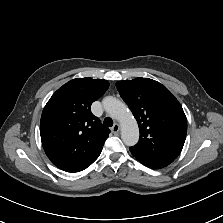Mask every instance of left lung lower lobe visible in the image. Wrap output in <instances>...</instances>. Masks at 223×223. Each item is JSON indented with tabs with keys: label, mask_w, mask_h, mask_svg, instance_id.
Masks as SVG:
<instances>
[{
	"label": "left lung lower lobe",
	"mask_w": 223,
	"mask_h": 223,
	"mask_svg": "<svg viewBox=\"0 0 223 223\" xmlns=\"http://www.w3.org/2000/svg\"><path fill=\"white\" fill-rule=\"evenodd\" d=\"M140 162L142 164H144L145 166L150 167V168H153V169H158V168L165 167V165H161V164H154V163H149V162H144V161H140Z\"/></svg>",
	"instance_id": "0a47b994"
}]
</instances>
